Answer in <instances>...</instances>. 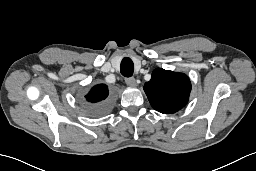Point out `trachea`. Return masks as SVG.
<instances>
[{
    "label": "trachea",
    "mask_w": 256,
    "mask_h": 171,
    "mask_svg": "<svg viewBox=\"0 0 256 171\" xmlns=\"http://www.w3.org/2000/svg\"><path fill=\"white\" fill-rule=\"evenodd\" d=\"M120 67H121V74L124 77H131L133 75L134 64L130 58L128 57L123 58L121 61Z\"/></svg>",
    "instance_id": "3493384b"
}]
</instances>
